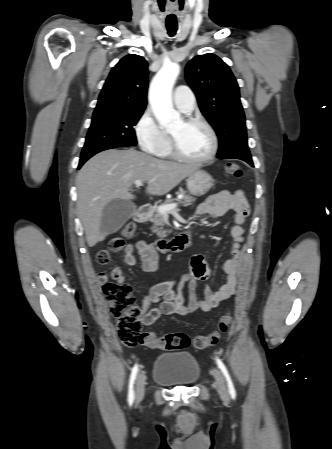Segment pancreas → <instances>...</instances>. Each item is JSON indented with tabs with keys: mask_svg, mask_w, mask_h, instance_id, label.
<instances>
[{
	"mask_svg": "<svg viewBox=\"0 0 332 449\" xmlns=\"http://www.w3.org/2000/svg\"><path fill=\"white\" fill-rule=\"evenodd\" d=\"M181 194H183L182 199H166L165 202L161 205H168L173 203L174 201H178L179 203H181L184 207L192 205L194 202V198H192L189 195H185L183 192H181ZM159 208V207H158ZM158 208H156L152 215H151V221L154 223V226L152 228L153 232L157 234L158 237L160 238H164L167 236V234L169 233V231L167 230H163V226H164V214H161L158 210Z\"/></svg>",
	"mask_w": 332,
	"mask_h": 449,
	"instance_id": "pancreas-1",
	"label": "pancreas"
}]
</instances>
